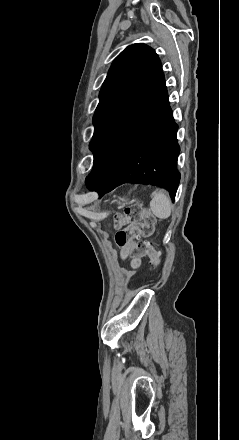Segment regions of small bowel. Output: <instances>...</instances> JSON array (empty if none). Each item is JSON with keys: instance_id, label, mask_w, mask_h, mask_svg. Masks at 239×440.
<instances>
[{"instance_id": "1", "label": "small bowel", "mask_w": 239, "mask_h": 440, "mask_svg": "<svg viewBox=\"0 0 239 440\" xmlns=\"http://www.w3.org/2000/svg\"><path fill=\"white\" fill-rule=\"evenodd\" d=\"M133 245H134V241H130L126 245L120 246L121 247L120 255L123 260L130 257L132 268H138L140 266L141 259H140V257H132L131 256V248L133 247Z\"/></svg>"}]
</instances>
